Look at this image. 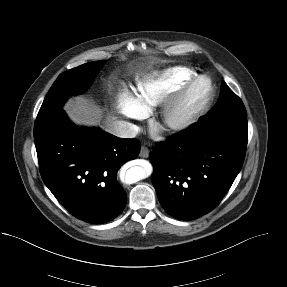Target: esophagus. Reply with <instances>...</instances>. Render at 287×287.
<instances>
[{"mask_svg":"<svg viewBox=\"0 0 287 287\" xmlns=\"http://www.w3.org/2000/svg\"><path fill=\"white\" fill-rule=\"evenodd\" d=\"M139 155L142 158H147L149 156V149H148V147L142 146Z\"/></svg>","mask_w":287,"mask_h":287,"instance_id":"obj_1","label":"esophagus"}]
</instances>
